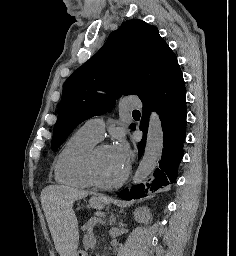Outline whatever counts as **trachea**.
I'll use <instances>...</instances> for the list:
<instances>
[{
  "mask_svg": "<svg viewBox=\"0 0 236 256\" xmlns=\"http://www.w3.org/2000/svg\"><path fill=\"white\" fill-rule=\"evenodd\" d=\"M134 112H139L138 110H134Z\"/></svg>",
  "mask_w": 236,
  "mask_h": 256,
  "instance_id": "3493384b",
  "label": "trachea"
}]
</instances>
